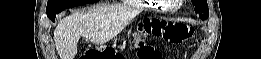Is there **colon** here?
I'll use <instances>...</instances> for the list:
<instances>
[{
	"instance_id": "5ec220e1",
	"label": "colon",
	"mask_w": 261,
	"mask_h": 59,
	"mask_svg": "<svg viewBox=\"0 0 261 59\" xmlns=\"http://www.w3.org/2000/svg\"><path fill=\"white\" fill-rule=\"evenodd\" d=\"M142 31L146 35L162 38L171 44H180L193 35V28L185 24L169 22L164 19L152 18L147 20ZM121 56L113 48L96 49L88 48L80 56V59H118ZM137 58L139 59H162V52L152 45L139 41L137 43Z\"/></svg>"
}]
</instances>
